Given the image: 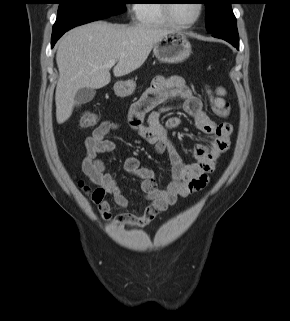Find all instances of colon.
Listing matches in <instances>:
<instances>
[{
    "label": "colon",
    "mask_w": 290,
    "mask_h": 321,
    "mask_svg": "<svg viewBox=\"0 0 290 321\" xmlns=\"http://www.w3.org/2000/svg\"><path fill=\"white\" fill-rule=\"evenodd\" d=\"M211 105L213 111L221 117H227L229 115V108L227 105L220 103L215 95L210 91ZM98 122V117L94 113H84L79 120V127L83 130H89L93 128ZM82 188L86 194L90 195L91 198L100 193L98 188L91 189L88 185L82 184Z\"/></svg>",
    "instance_id": "1"
}]
</instances>
